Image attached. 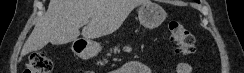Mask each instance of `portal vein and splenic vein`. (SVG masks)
<instances>
[{"label": "portal vein and splenic vein", "mask_w": 244, "mask_h": 73, "mask_svg": "<svg viewBox=\"0 0 244 73\" xmlns=\"http://www.w3.org/2000/svg\"><path fill=\"white\" fill-rule=\"evenodd\" d=\"M89 21L85 20L82 24H87Z\"/></svg>", "instance_id": "obj_1"}]
</instances>
